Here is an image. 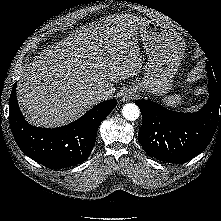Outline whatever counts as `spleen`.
I'll return each instance as SVG.
<instances>
[{"mask_svg": "<svg viewBox=\"0 0 221 221\" xmlns=\"http://www.w3.org/2000/svg\"><path fill=\"white\" fill-rule=\"evenodd\" d=\"M181 101L182 97L180 95H172L165 98L163 103L171 109H177L181 105Z\"/></svg>", "mask_w": 221, "mask_h": 221, "instance_id": "3e777b00", "label": "spleen"}]
</instances>
